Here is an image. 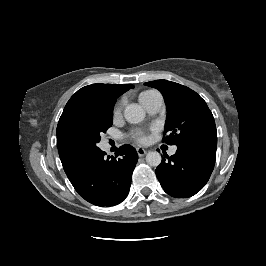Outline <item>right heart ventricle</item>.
I'll return each instance as SVG.
<instances>
[{
	"label": "right heart ventricle",
	"mask_w": 266,
	"mask_h": 266,
	"mask_svg": "<svg viewBox=\"0 0 266 266\" xmlns=\"http://www.w3.org/2000/svg\"><path fill=\"white\" fill-rule=\"evenodd\" d=\"M156 93H157L156 91H145L140 94L139 100L143 104L149 97H151L152 95Z\"/></svg>",
	"instance_id": "e07e8e85"
}]
</instances>
